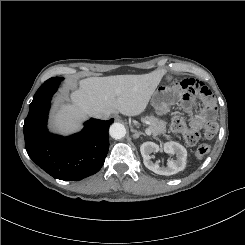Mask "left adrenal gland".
<instances>
[{
    "instance_id": "obj_1",
    "label": "left adrenal gland",
    "mask_w": 245,
    "mask_h": 245,
    "mask_svg": "<svg viewBox=\"0 0 245 245\" xmlns=\"http://www.w3.org/2000/svg\"><path fill=\"white\" fill-rule=\"evenodd\" d=\"M131 131L134 133V135H133L134 139H138L140 135H145L144 133L139 132V131L134 130V129H131Z\"/></svg>"
}]
</instances>
